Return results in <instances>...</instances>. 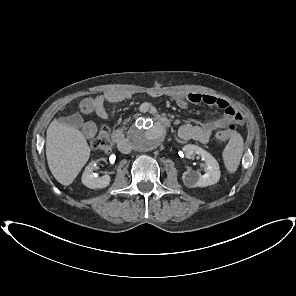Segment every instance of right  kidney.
<instances>
[{
    "label": "right kidney",
    "mask_w": 296,
    "mask_h": 296,
    "mask_svg": "<svg viewBox=\"0 0 296 296\" xmlns=\"http://www.w3.org/2000/svg\"><path fill=\"white\" fill-rule=\"evenodd\" d=\"M95 169H96L95 161L90 162L86 166L85 171L83 172V175H82V183L90 189H101V188L107 187L111 180L110 176L104 175L102 177H98L94 173Z\"/></svg>",
    "instance_id": "right-kidney-1"
}]
</instances>
